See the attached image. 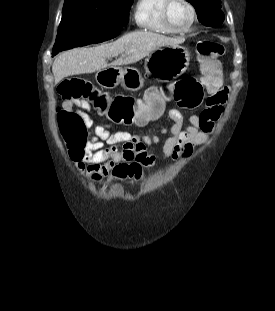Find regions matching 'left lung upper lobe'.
Wrapping results in <instances>:
<instances>
[{
  "label": "left lung upper lobe",
  "instance_id": "1",
  "mask_svg": "<svg viewBox=\"0 0 275 311\" xmlns=\"http://www.w3.org/2000/svg\"><path fill=\"white\" fill-rule=\"evenodd\" d=\"M197 11L198 20L210 27H218L224 21L221 0H187Z\"/></svg>",
  "mask_w": 275,
  "mask_h": 311
}]
</instances>
